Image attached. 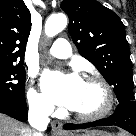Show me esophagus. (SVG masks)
Segmentation results:
<instances>
[{
    "label": "esophagus",
    "mask_w": 136,
    "mask_h": 136,
    "mask_svg": "<svg viewBox=\"0 0 136 136\" xmlns=\"http://www.w3.org/2000/svg\"><path fill=\"white\" fill-rule=\"evenodd\" d=\"M52 130L55 133H62V123L59 121H53L52 122Z\"/></svg>",
    "instance_id": "esophagus-1"
}]
</instances>
